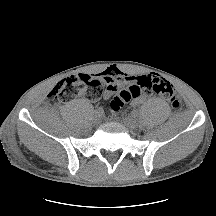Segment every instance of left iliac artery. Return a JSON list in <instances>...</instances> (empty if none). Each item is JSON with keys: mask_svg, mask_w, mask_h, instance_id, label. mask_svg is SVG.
Listing matches in <instances>:
<instances>
[{"mask_svg": "<svg viewBox=\"0 0 216 216\" xmlns=\"http://www.w3.org/2000/svg\"><path fill=\"white\" fill-rule=\"evenodd\" d=\"M133 115L136 116V115H137V111H134V112H133Z\"/></svg>", "mask_w": 216, "mask_h": 216, "instance_id": "1", "label": "left iliac artery"}]
</instances>
